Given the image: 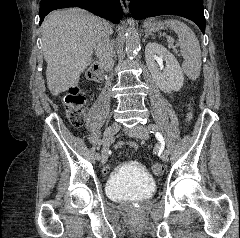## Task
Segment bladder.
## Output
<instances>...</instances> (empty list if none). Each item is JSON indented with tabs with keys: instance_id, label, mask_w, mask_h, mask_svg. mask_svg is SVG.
<instances>
[{
	"instance_id": "obj_1",
	"label": "bladder",
	"mask_w": 240,
	"mask_h": 238,
	"mask_svg": "<svg viewBox=\"0 0 240 238\" xmlns=\"http://www.w3.org/2000/svg\"><path fill=\"white\" fill-rule=\"evenodd\" d=\"M156 189L155 181L138 163L121 165L107 182V195L115 201L146 200Z\"/></svg>"
}]
</instances>
